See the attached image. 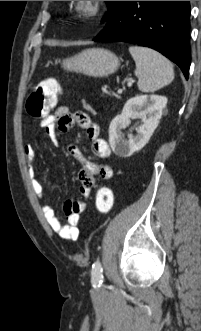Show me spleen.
<instances>
[{
    "label": "spleen",
    "mask_w": 201,
    "mask_h": 331,
    "mask_svg": "<svg viewBox=\"0 0 201 331\" xmlns=\"http://www.w3.org/2000/svg\"><path fill=\"white\" fill-rule=\"evenodd\" d=\"M129 52L135 64L138 88L142 92H154L170 84L174 79L172 63L162 54L143 46H130Z\"/></svg>",
    "instance_id": "3e777b00"
}]
</instances>
